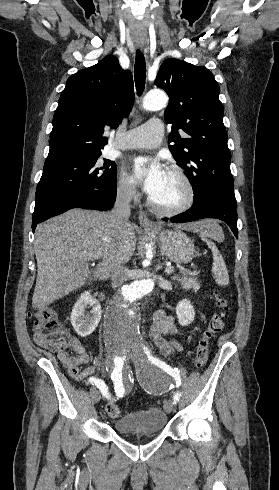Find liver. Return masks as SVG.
<instances>
[{"label": "liver", "mask_w": 279, "mask_h": 490, "mask_svg": "<svg viewBox=\"0 0 279 490\" xmlns=\"http://www.w3.org/2000/svg\"><path fill=\"white\" fill-rule=\"evenodd\" d=\"M108 212L69 210L38 224L35 232L37 280L33 308H42L68 296L86 284L90 274L87 262L101 260L93 278L105 280L117 262H129L136 248L133 226H110ZM189 232H199L201 222L183 224Z\"/></svg>", "instance_id": "6515ba94"}]
</instances>
